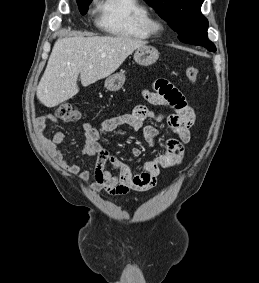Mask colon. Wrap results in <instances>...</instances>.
<instances>
[{
  "mask_svg": "<svg viewBox=\"0 0 259 283\" xmlns=\"http://www.w3.org/2000/svg\"><path fill=\"white\" fill-rule=\"evenodd\" d=\"M185 74L187 79L196 83L199 78V70L193 65L186 67ZM56 116L63 121H73L81 117V113L78 108L71 103H63L56 109Z\"/></svg>",
  "mask_w": 259,
  "mask_h": 283,
  "instance_id": "colon-1",
  "label": "colon"
}]
</instances>
